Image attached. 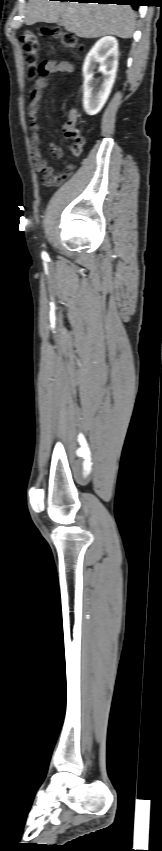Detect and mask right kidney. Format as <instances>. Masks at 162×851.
I'll list each match as a JSON object with an SVG mask.
<instances>
[{"label":"right kidney","instance_id":"1","mask_svg":"<svg viewBox=\"0 0 162 851\" xmlns=\"http://www.w3.org/2000/svg\"><path fill=\"white\" fill-rule=\"evenodd\" d=\"M103 75V82L96 87L93 81L94 70ZM118 67V42L112 36L99 39L87 54L83 65V108L90 115H96L104 106L115 81Z\"/></svg>","mask_w":162,"mask_h":851}]
</instances>
